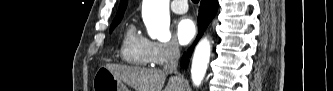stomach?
Here are the masks:
<instances>
[{
  "label": "stomach",
  "instance_id": "0dacf381",
  "mask_svg": "<svg viewBox=\"0 0 333 91\" xmlns=\"http://www.w3.org/2000/svg\"><path fill=\"white\" fill-rule=\"evenodd\" d=\"M93 91H129L106 67H100L93 78Z\"/></svg>",
  "mask_w": 333,
  "mask_h": 91
}]
</instances>
